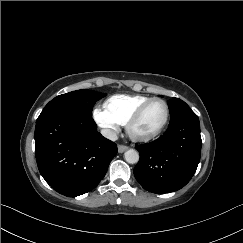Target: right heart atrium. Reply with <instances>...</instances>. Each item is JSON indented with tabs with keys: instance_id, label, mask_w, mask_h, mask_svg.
I'll list each match as a JSON object with an SVG mask.
<instances>
[{
	"instance_id": "1",
	"label": "right heart atrium",
	"mask_w": 243,
	"mask_h": 243,
	"mask_svg": "<svg viewBox=\"0 0 243 243\" xmlns=\"http://www.w3.org/2000/svg\"><path fill=\"white\" fill-rule=\"evenodd\" d=\"M93 117L96 123L104 129L107 134H113L118 128L119 123L105 110V108L96 107L93 111Z\"/></svg>"
}]
</instances>
